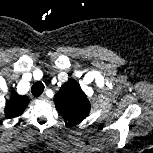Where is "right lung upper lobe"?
<instances>
[{
	"instance_id": "cb5924a9",
	"label": "right lung upper lobe",
	"mask_w": 153,
	"mask_h": 153,
	"mask_svg": "<svg viewBox=\"0 0 153 153\" xmlns=\"http://www.w3.org/2000/svg\"><path fill=\"white\" fill-rule=\"evenodd\" d=\"M29 104L26 96H19L16 92H12L10 99L6 102L4 114L7 118L20 116Z\"/></svg>"
}]
</instances>
